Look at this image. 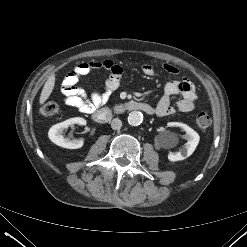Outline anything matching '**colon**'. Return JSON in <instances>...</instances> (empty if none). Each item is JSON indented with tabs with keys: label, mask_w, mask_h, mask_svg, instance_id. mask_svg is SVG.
Segmentation results:
<instances>
[{
	"label": "colon",
	"mask_w": 247,
	"mask_h": 247,
	"mask_svg": "<svg viewBox=\"0 0 247 247\" xmlns=\"http://www.w3.org/2000/svg\"><path fill=\"white\" fill-rule=\"evenodd\" d=\"M59 111V106L53 101L45 103L41 108V113L45 117H52ZM195 122L200 130H207L211 126V118L205 111H200L196 114Z\"/></svg>",
	"instance_id": "1"
}]
</instances>
